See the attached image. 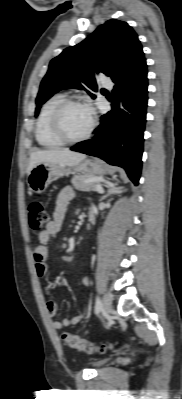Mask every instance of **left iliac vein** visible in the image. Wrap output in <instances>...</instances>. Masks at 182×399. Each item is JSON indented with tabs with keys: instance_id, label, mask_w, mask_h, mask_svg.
<instances>
[{
	"instance_id": "1",
	"label": "left iliac vein",
	"mask_w": 182,
	"mask_h": 399,
	"mask_svg": "<svg viewBox=\"0 0 182 399\" xmlns=\"http://www.w3.org/2000/svg\"><path fill=\"white\" fill-rule=\"evenodd\" d=\"M103 307L107 315H111L112 311V298L110 294L106 293L103 298Z\"/></svg>"
}]
</instances>
